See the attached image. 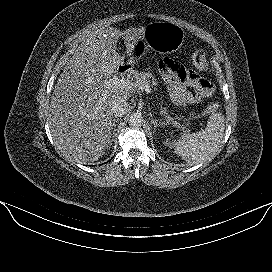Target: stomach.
<instances>
[{
	"label": "stomach",
	"mask_w": 272,
	"mask_h": 272,
	"mask_svg": "<svg viewBox=\"0 0 272 272\" xmlns=\"http://www.w3.org/2000/svg\"><path fill=\"white\" fill-rule=\"evenodd\" d=\"M185 33L177 24L171 22H151L146 26L144 38L136 44L135 55L147 48L160 53H173L184 42Z\"/></svg>",
	"instance_id": "0dacf381"
}]
</instances>
